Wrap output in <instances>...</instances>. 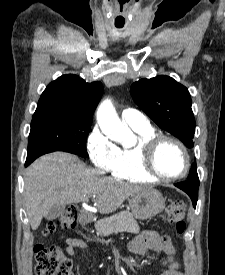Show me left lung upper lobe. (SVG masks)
Segmentation results:
<instances>
[{
	"mask_svg": "<svg viewBox=\"0 0 225 275\" xmlns=\"http://www.w3.org/2000/svg\"><path fill=\"white\" fill-rule=\"evenodd\" d=\"M136 104L162 129L179 138L186 147H193L195 118L191 97L186 87L165 75L141 79L131 86ZM188 180L199 182L196 163Z\"/></svg>",
	"mask_w": 225,
	"mask_h": 275,
	"instance_id": "5c2ea615",
	"label": "left lung upper lobe"
}]
</instances>
